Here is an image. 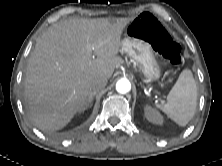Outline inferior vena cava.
Wrapping results in <instances>:
<instances>
[{
  "instance_id": "obj_1",
  "label": "inferior vena cava",
  "mask_w": 222,
  "mask_h": 166,
  "mask_svg": "<svg viewBox=\"0 0 222 166\" xmlns=\"http://www.w3.org/2000/svg\"><path fill=\"white\" fill-rule=\"evenodd\" d=\"M107 85V79L100 78L96 79L92 84V92L96 94L97 92L103 90Z\"/></svg>"
}]
</instances>
